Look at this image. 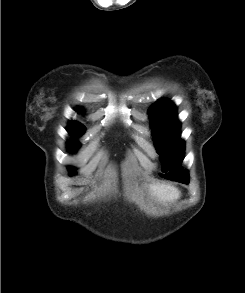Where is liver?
Wrapping results in <instances>:
<instances>
[{"label":"liver","instance_id":"obj_1","mask_svg":"<svg viewBox=\"0 0 245 293\" xmlns=\"http://www.w3.org/2000/svg\"><path fill=\"white\" fill-rule=\"evenodd\" d=\"M149 191L160 202H172L180 197L178 188L169 184H151Z\"/></svg>","mask_w":245,"mask_h":293}]
</instances>
